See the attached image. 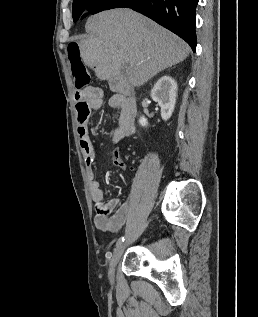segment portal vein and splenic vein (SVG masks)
Wrapping results in <instances>:
<instances>
[{
	"instance_id": "18ae733b",
	"label": "portal vein and splenic vein",
	"mask_w": 258,
	"mask_h": 317,
	"mask_svg": "<svg viewBox=\"0 0 258 317\" xmlns=\"http://www.w3.org/2000/svg\"><path fill=\"white\" fill-rule=\"evenodd\" d=\"M126 68H127V74H128V72H130L129 70L130 66H126Z\"/></svg>"
}]
</instances>
